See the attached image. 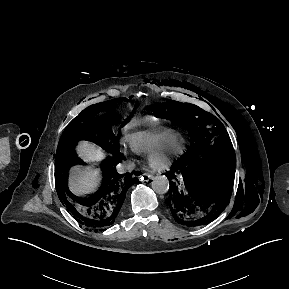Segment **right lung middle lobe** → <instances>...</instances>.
Here are the masks:
<instances>
[{"label":"right lung middle lobe","mask_w":289,"mask_h":289,"mask_svg":"<svg viewBox=\"0 0 289 289\" xmlns=\"http://www.w3.org/2000/svg\"><path fill=\"white\" fill-rule=\"evenodd\" d=\"M127 99H113L92 105L84 109L65 128L57 147L55 157V175L61 178L70 168L69 155L74 153V145L80 140L92 141L102 148H109V139L115 134L111 131L114 118L111 112L104 113L109 106Z\"/></svg>","instance_id":"dd1d6c3e"}]
</instances>
